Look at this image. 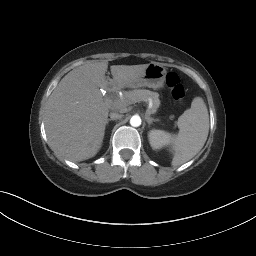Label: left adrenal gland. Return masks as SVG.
Instances as JSON below:
<instances>
[{
    "instance_id": "1",
    "label": "left adrenal gland",
    "mask_w": 256,
    "mask_h": 256,
    "mask_svg": "<svg viewBox=\"0 0 256 256\" xmlns=\"http://www.w3.org/2000/svg\"><path fill=\"white\" fill-rule=\"evenodd\" d=\"M145 120L148 123V125L150 126L153 122L159 121L158 119H154L152 117H150L148 114L145 115Z\"/></svg>"
}]
</instances>
